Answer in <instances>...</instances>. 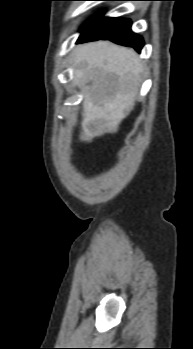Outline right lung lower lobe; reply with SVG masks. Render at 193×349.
Masks as SVG:
<instances>
[{"instance_id":"right-lung-lower-lobe-1","label":"right lung lower lobe","mask_w":193,"mask_h":349,"mask_svg":"<svg viewBox=\"0 0 193 349\" xmlns=\"http://www.w3.org/2000/svg\"><path fill=\"white\" fill-rule=\"evenodd\" d=\"M80 32L77 43L103 39L133 47L138 52L143 47V39L132 32L129 19L103 17L98 14L86 22Z\"/></svg>"}]
</instances>
